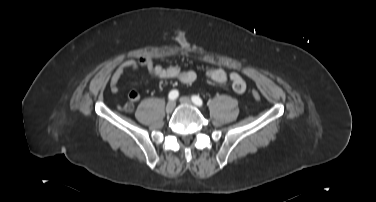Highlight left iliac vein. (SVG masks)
Wrapping results in <instances>:
<instances>
[{"instance_id": "4c4485c4", "label": "left iliac vein", "mask_w": 376, "mask_h": 202, "mask_svg": "<svg viewBox=\"0 0 376 202\" xmlns=\"http://www.w3.org/2000/svg\"><path fill=\"white\" fill-rule=\"evenodd\" d=\"M179 100H180V102H181L182 104H188V105H191V104H192V101H191V99H190L189 97H185V96H183V97H181Z\"/></svg>"}]
</instances>
